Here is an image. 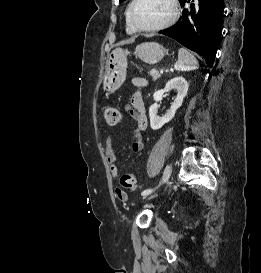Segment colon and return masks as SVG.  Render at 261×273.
<instances>
[{
    "label": "colon",
    "instance_id": "obj_1",
    "mask_svg": "<svg viewBox=\"0 0 261 273\" xmlns=\"http://www.w3.org/2000/svg\"><path fill=\"white\" fill-rule=\"evenodd\" d=\"M103 115L106 123L109 126H115L119 123L120 120V113L119 110L114 107H105L103 109ZM120 186L121 190H130L134 191L138 188L137 179L135 174L133 173H126L123 174L120 178Z\"/></svg>",
    "mask_w": 261,
    "mask_h": 273
}]
</instances>
